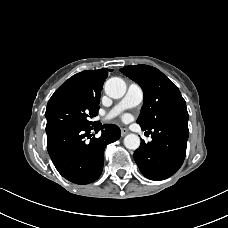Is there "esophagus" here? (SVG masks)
Here are the masks:
<instances>
[{
	"label": "esophagus",
	"mask_w": 228,
	"mask_h": 228,
	"mask_svg": "<svg viewBox=\"0 0 228 228\" xmlns=\"http://www.w3.org/2000/svg\"><path fill=\"white\" fill-rule=\"evenodd\" d=\"M129 133V130L127 128H121V136H125Z\"/></svg>",
	"instance_id": "1"
}]
</instances>
